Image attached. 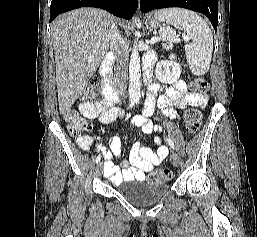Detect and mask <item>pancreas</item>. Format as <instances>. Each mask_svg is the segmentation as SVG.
I'll return each instance as SVG.
<instances>
[{
	"mask_svg": "<svg viewBox=\"0 0 257 237\" xmlns=\"http://www.w3.org/2000/svg\"><path fill=\"white\" fill-rule=\"evenodd\" d=\"M162 47H163L164 49L169 50L172 46H171V45H167V44H162Z\"/></svg>",
	"mask_w": 257,
	"mask_h": 237,
	"instance_id": "1",
	"label": "pancreas"
}]
</instances>
